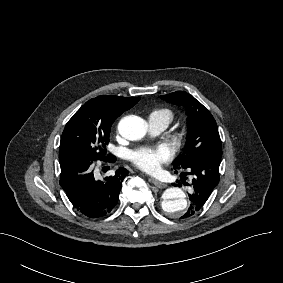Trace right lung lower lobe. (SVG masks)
I'll use <instances>...</instances> for the list:
<instances>
[{
	"mask_svg": "<svg viewBox=\"0 0 283 283\" xmlns=\"http://www.w3.org/2000/svg\"><path fill=\"white\" fill-rule=\"evenodd\" d=\"M103 161L115 162L116 158L109 156ZM95 162L84 155L60 159V185L75 210L89 219L102 218L114 209L122 181L128 174L125 168H120L115 175L96 180L92 170Z\"/></svg>",
	"mask_w": 283,
	"mask_h": 283,
	"instance_id": "right-lung-lower-lobe-1",
	"label": "right lung lower lobe"
}]
</instances>
